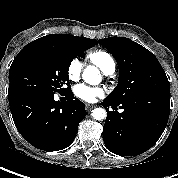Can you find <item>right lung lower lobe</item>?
I'll return each instance as SVG.
<instances>
[{
  "label": "right lung lower lobe",
  "mask_w": 178,
  "mask_h": 178,
  "mask_svg": "<svg viewBox=\"0 0 178 178\" xmlns=\"http://www.w3.org/2000/svg\"><path fill=\"white\" fill-rule=\"evenodd\" d=\"M65 96L68 100L61 103L54 100V94H8L15 126L34 147L52 152L65 149L73 142L87 112L71 90L66 91Z\"/></svg>",
  "instance_id": "1"
}]
</instances>
